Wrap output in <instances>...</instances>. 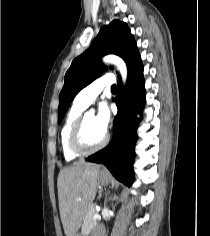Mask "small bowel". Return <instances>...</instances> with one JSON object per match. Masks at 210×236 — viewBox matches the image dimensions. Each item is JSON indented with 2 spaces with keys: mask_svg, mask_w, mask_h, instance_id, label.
Instances as JSON below:
<instances>
[{
  "mask_svg": "<svg viewBox=\"0 0 210 236\" xmlns=\"http://www.w3.org/2000/svg\"><path fill=\"white\" fill-rule=\"evenodd\" d=\"M93 236H102V231H101V229H97V230L95 231V233H94Z\"/></svg>",
  "mask_w": 210,
  "mask_h": 236,
  "instance_id": "obj_1",
  "label": "small bowel"
}]
</instances>
